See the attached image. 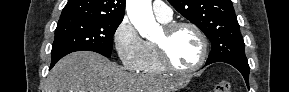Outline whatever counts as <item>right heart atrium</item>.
<instances>
[{"label":"right heart atrium","instance_id":"1","mask_svg":"<svg viewBox=\"0 0 289 92\" xmlns=\"http://www.w3.org/2000/svg\"><path fill=\"white\" fill-rule=\"evenodd\" d=\"M113 43L122 65L131 71L142 68L146 58V42L131 21L124 17L113 34Z\"/></svg>","mask_w":289,"mask_h":92}]
</instances>
